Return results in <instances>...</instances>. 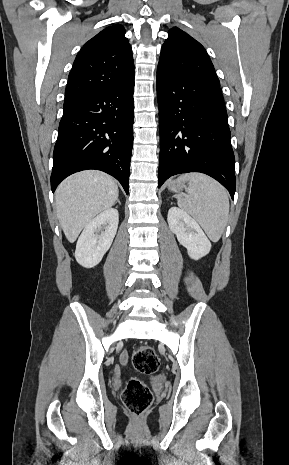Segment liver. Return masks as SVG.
Returning <instances> with one entry per match:
<instances>
[{
  "label": "liver",
  "instance_id": "1",
  "mask_svg": "<svg viewBox=\"0 0 289 465\" xmlns=\"http://www.w3.org/2000/svg\"><path fill=\"white\" fill-rule=\"evenodd\" d=\"M115 180L100 171H83L65 179L56 190V212L67 240L75 242L82 229L118 199Z\"/></svg>",
  "mask_w": 289,
  "mask_h": 465
}]
</instances>
